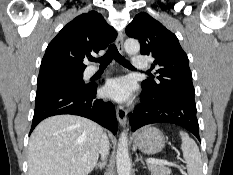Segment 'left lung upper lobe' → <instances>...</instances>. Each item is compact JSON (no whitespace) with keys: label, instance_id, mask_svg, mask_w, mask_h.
Returning a JSON list of instances; mask_svg holds the SVG:
<instances>
[{"label":"left lung upper lobe","instance_id":"1","mask_svg":"<svg viewBox=\"0 0 233 175\" xmlns=\"http://www.w3.org/2000/svg\"><path fill=\"white\" fill-rule=\"evenodd\" d=\"M126 34L139 40L141 54L154 57L152 68H158L159 81L155 82L153 77L144 80L141 83L143 91L153 97L174 92L195 94L188 57L175 34L143 12L126 27Z\"/></svg>","mask_w":233,"mask_h":175}]
</instances>
